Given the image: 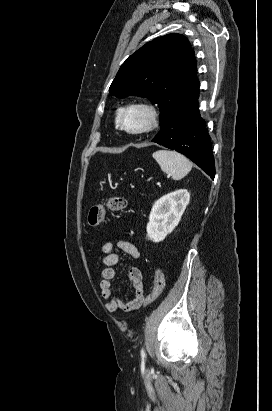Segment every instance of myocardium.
<instances>
[{"mask_svg": "<svg viewBox=\"0 0 272 411\" xmlns=\"http://www.w3.org/2000/svg\"><path fill=\"white\" fill-rule=\"evenodd\" d=\"M131 110H141L145 113L146 115V122L145 124L137 129H130L126 126L124 122V117L125 114ZM118 127L126 132L127 134L130 135H144L147 133L152 132L155 130L159 124V114L157 109L146 102H132L129 103L128 105L124 106L118 115V120H117Z\"/></svg>", "mask_w": 272, "mask_h": 411, "instance_id": "1", "label": "myocardium"}]
</instances>
